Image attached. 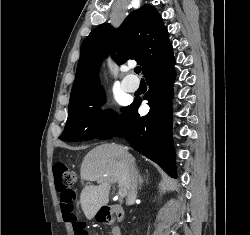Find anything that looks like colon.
Returning a JSON list of instances; mask_svg holds the SVG:
<instances>
[{
	"label": "colon",
	"instance_id": "5ec220e1",
	"mask_svg": "<svg viewBox=\"0 0 250 235\" xmlns=\"http://www.w3.org/2000/svg\"><path fill=\"white\" fill-rule=\"evenodd\" d=\"M55 185L60 193V207L64 220L71 224L74 235H88L84 222L75 212L76 194L72 186L77 181L75 170L68 164L58 161L53 166Z\"/></svg>",
	"mask_w": 250,
	"mask_h": 235
}]
</instances>
